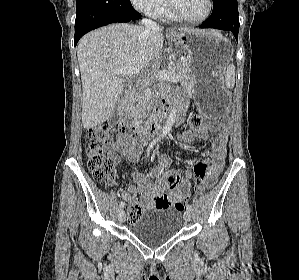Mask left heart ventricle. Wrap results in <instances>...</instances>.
<instances>
[{
  "label": "left heart ventricle",
  "instance_id": "obj_1",
  "mask_svg": "<svg viewBox=\"0 0 299 280\" xmlns=\"http://www.w3.org/2000/svg\"><path fill=\"white\" fill-rule=\"evenodd\" d=\"M179 10L190 19H199L207 11V0H175Z\"/></svg>",
  "mask_w": 299,
  "mask_h": 280
}]
</instances>
